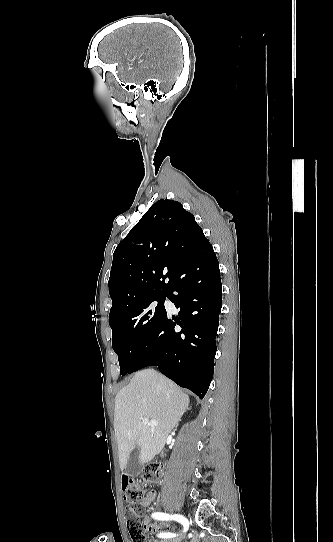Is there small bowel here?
I'll list each match as a JSON object with an SVG mask.
<instances>
[{"label":"small bowel","mask_w":333,"mask_h":542,"mask_svg":"<svg viewBox=\"0 0 333 542\" xmlns=\"http://www.w3.org/2000/svg\"><path fill=\"white\" fill-rule=\"evenodd\" d=\"M120 477L123 479L125 476L122 474ZM155 496H156L155 490L153 489L149 490L139 505L143 508H148L154 502ZM145 526H146L147 531L153 532V533H160L169 529V524L167 523L151 524L148 522L146 523Z\"/></svg>","instance_id":"c3829d8e"}]
</instances>
